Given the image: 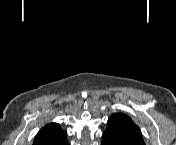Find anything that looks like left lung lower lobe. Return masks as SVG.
I'll return each instance as SVG.
<instances>
[{
	"mask_svg": "<svg viewBox=\"0 0 176 145\" xmlns=\"http://www.w3.org/2000/svg\"><path fill=\"white\" fill-rule=\"evenodd\" d=\"M101 145H118L116 142H114L112 139L107 137L106 135H103V140Z\"/></svg>",
	"mask_w": 176,
	"mask_h": 145,
	"instance_id": "left-lung-lower-lobe-1",
	"label": "left lung lower lobe"
}]
</instances>
